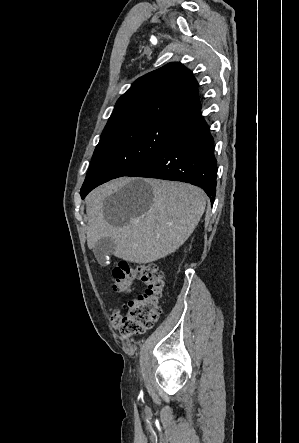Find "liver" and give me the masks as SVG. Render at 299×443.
Masks as SVG:
<instances>
[{"label":"liver","instance_id":"1","mask_svg":"<svg viewBox=\"0 0 299 443\" xmlns=\"http://www.w3.org/2000/svg\"><path fill=\"white\" fill-rule=\"evenodd\" d=\"M205 206L203 191L190 184L138 178L111 181L87 197L88 248L110 237L114 256L138 264L156 261L184 244Z\"/></svg>","mask_w":299,"mask_h":443}]
</instances>
